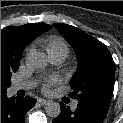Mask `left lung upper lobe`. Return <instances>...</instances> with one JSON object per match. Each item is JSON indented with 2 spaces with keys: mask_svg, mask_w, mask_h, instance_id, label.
I'll use <instances>...</instances> for the list:
<instances>
[{
  "mask_svg": "<svg viewBox=\"0 0 123 123\" xmlns=\"http://www.w3.org/2000/svg\"><path fill=\"white\" fill-rule=\"evenodd\" d=\"M54 26L74 46L78 68L70 80V96L79 102L108 110L115 76V65L106 45L80 29L67 24Z\"/></svg>",
  "mask_w": 123,
  "mask_h": 123,
  "instance_id": "1",
  "label": "left lung upper lobe"
}]
</instances>
